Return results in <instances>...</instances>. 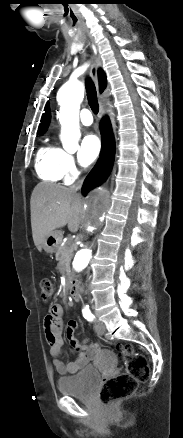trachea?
I'll list each match as a JSON object with an SVG mask.
<instances>
[{
  "instance_id": "obj_1",
  "label": "trachea",
  "mask_w": 183,
  "mask_h": 438,
  "mask_svg": "<svg viewBox=\"0 0 183 438\" xmlns=\"http://www.w3.org/2000/svg\"><path fill=\"white\" fill-rule=\"evenodd\" d=\"M85 85H86L88 104L90 105L91 110L95 114H97L99 111V104H98V100H97V93H96L95 85L90 78L86 79Z\"/></svg>"
}]
</instances>
